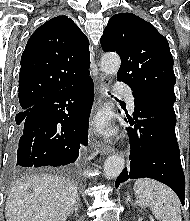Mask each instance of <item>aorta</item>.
I'll list each match as a JSON object with an SVG mask.
<instances>
[{"label":"aorta","instance_id":"aorta-1","mask_svg":"<svg viewBox=\"0 0 190 221\" xmlns=\"http://www.w3.org/2000/svg\"><path fill=\"white\" fill-rule=\"evenodd\" d=\"M121 64L117 54L106 53L101 58V71L106 75H116ZM125 160L122 155H113L107 158L104 164V173L107 179H114L122 172Z\"/></svg>","mask_w":190,"mask_h":221}]
</instances>
